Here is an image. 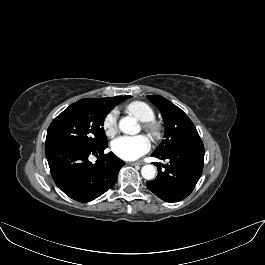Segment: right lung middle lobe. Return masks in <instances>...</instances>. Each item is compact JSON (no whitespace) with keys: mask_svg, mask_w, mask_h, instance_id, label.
I'll use <instances>...</instances> for the list:
<instances>
[{"mask_svg":"<svg viewBox=\"0 0 265 265\" xmlns=\"http://www.w3.org/2000/svg\"><path fill=\"white\" fill-rule=\"evenodd\" d=\"M111 110V107L90 98L71 104L50 124L45 144L74 143L87 148L108 144L103 124Z\"/></svg>","mask_w":265,"mask_h":265,"instance_id":"dd1d6c3e","label":"right lung middle lobe"}]
</instances>
